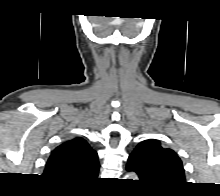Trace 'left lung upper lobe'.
<instances>
[{
    "label": "left lung upper lobe",
    "instance_id": "obj_1",
    "mask_svg": "<svg viewBox=\"0 0 220 196\" xmlns=\"http://www.w3.org/2000/svg\"><path fill=\"white\" fill-rule=\"evenodd\" d=\"M140 180L159 191H168L185 183L182 162L169 148H163L156 139L144 140L128 158Z\"/></svg>",
    "mask_w": 220,
    "mask_h": 196
}]
</instances>
